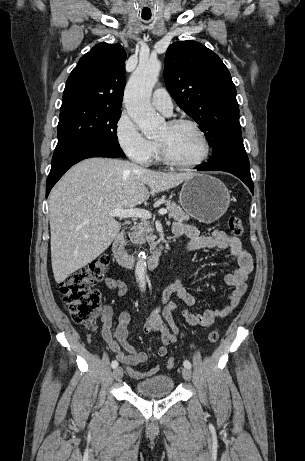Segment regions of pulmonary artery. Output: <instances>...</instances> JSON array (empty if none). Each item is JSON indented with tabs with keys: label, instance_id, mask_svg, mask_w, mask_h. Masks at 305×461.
<instances>
[{
	"label": "pulmonary artery",
	"instance_id": "pulmonary-artery-1",
	"mask_svg": "<svg viewBox=\"0 0 305 461\" xmlns=\"http://www.w3.org/2000/svg\"><path fill=\"white\" fill-rule=\"evenodd\" d=\"M152 105L167 116L171 115L173 110L172 98L168 91L162 87L154 90L152 95Z\"/></svg>",
	"mask_w": 305,
	"mask_h": 461
}]
</instances>
